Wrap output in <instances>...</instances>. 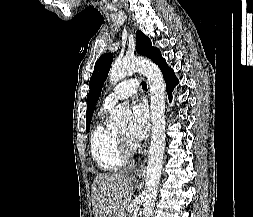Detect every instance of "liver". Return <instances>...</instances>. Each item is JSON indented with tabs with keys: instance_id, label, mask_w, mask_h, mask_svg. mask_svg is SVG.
Returning a JSON list of instances; mask_svg holds the SVG:
<instances>
[{
	"instance_id": "6515ba94",
	"label": "liver",
	"mask_w": 253,
	"mask_h": 217,
	"mask_svg": "<svg viewBox=\"0 0 253 217\" xmlns=\"http://www.w3.org/2000/svg\"><path fill=\"white\" fill-rule=\"evenodd\" d=\"M132 180L122 173L97 175L91 194L94 217H125L134 192Z\"/></svg>"
}]
</instances>
